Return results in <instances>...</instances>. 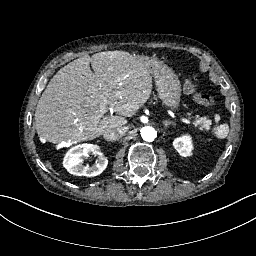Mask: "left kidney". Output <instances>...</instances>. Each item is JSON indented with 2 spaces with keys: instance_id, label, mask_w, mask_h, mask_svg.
Segmentation results:
<instances>
[{
  "instance_id": "1",
  "label": "left kidney",
  "mask_w": 256,
  "mask_h": 256,
  "mask_svg": "<svg viewBox=\"0 0 256 256\" xmlns=\"http://www.w3.org/2000/svg\"><path fill=\"white\" fill-rule=\"evenodd\" d=\"M173 146L180 156L187 157L192 155L193 143L190 135L186 134L175 138L173 141Z\"/></svg>"
}]
</instances>
